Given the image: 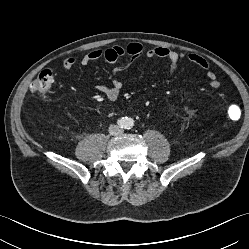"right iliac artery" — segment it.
Masks as SVG:
<instances>
[{"mask_svg":"<svg viewBox=\"0 0 249 249\" xmlns=\"http://www.w3.org/2000/svg\"><path fill=\"white\" fill-rule=\"evenodd\" d=\"M117 123L121 128L125 126V121L123 119L118 120Z\"/></svg>","mask_w":249,"mask_h":249,"instance_id":"right-iliac-artery-1","label":"right iliac artery"}]
</instances>
